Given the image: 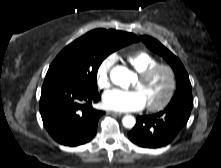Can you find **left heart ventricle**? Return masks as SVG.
Segmentation results:
<instances>
[{"label": "left heart ventricle", "instance_id": "1", "mask_svg": "<svg viewBox=\"0 0 221 168\" xmlns=\"http://www.w3.org/2000/svg\"><path fill=\"white\" fill-rule=\"evenodd\" d=\"M169 87V77L166 71L157 72L147 82H141L137 79L134 88L139 90L146 104H156L160 102L166 95Z\"/></svg>", "mask_w": 221, "mask_h": 168}]
</instances>
